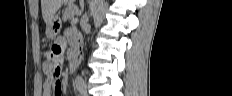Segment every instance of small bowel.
Instances as JSON below:
<instances>
[{"label":"small bowel","instance_id":"obj_1","mask_svg":"<svg viewBox=\"0 0 232 96\" xmlns=\"http://www.w3.org/2000/svg\"><path fill=\"white\" fill-rule=\"evenodd\" d=\"M77 35H81V30H69L68 31V38L70 39L71 43L73 45H76L77 43H83V38H78ZM55 45H59L62 49L66 45V40L63 37H59ZM44 69H48V64L44 65ZM50 71V69H49ZM63 82L60 80H56L54 76H48L44 80L42 84V90L41 95L42 96H64L63 93H61V87Z\"/></svg>","mask_w":232,"mask_h":96}]
</instances>
